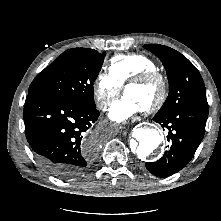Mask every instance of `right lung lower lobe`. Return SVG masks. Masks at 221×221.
I'll list each match as a JSON object with an SVG mask.
<instances>
[{
    "instance_id": "1",
    "label": "right lung lower lobe",
    "mask_w": 221,
    "mask_h": 221,
    "mask_svg": "<svg viewBox=\"0 0 221 221\" xmlns=\"http://www.w3.org/2000/svg\"><path fill=\"white\" fill-rule=\"evenodd\" d=\"M99 115L96 108L40 92L29 93L24 106L25 134L39 164L63 180L80 176L95 147L85 146L83 135Z\"/></svg>"
}]
</instances>
